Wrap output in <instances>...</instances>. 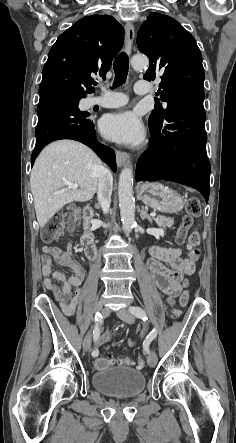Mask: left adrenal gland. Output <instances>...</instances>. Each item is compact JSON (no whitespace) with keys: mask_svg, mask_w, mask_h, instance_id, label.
<instances>
[{"mask_svg":"<svg viewBox=\"0 0 236 443\" xmlns=\"http://www.w3.org/2000/svg\"><path fill=\"white\" fill-rule=\"evenodd\" d=\"M140 218L142 220L147 219L152 224V218L148 215V213L144 210V207H142V210L140 212Z\"/></svg>","mask_w":236,"mask_h":443,"instance_id":"obj_1","label":"left adrenal gland"}]
</instances>
